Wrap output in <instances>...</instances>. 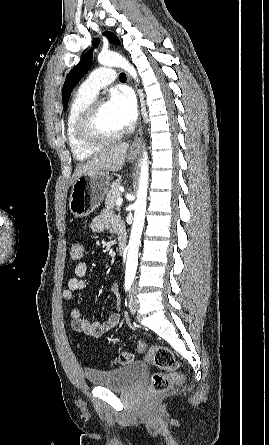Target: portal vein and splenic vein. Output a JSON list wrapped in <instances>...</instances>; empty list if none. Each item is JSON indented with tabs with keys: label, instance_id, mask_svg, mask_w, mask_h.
<instances>
[{
	"label": "portal vein and splenic vein",
	"instance_id": "obj_1",
	"mask_svg": "<svg viewBox=\"0 0 269 445\" xmlns=\"http://www.w3.org/2000/svg\"><path fill=\"white\" fill-rule=\"evenodd\" d=\"M122 203H123V199L122 198H118L117 201H116V205L117 206H121Z\"/></svg>",
	"mask_w": 269,
	"mask_h": 445
}]
</instances>
